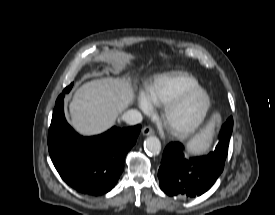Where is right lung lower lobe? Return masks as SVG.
<instances>
[{
  "label": "right lung lower lobe",
  "mask_w": 275,
  "mask_h": 215,
  "mask_svg": "<svg viewBox=\"0 0 275 215\" xmlns=\"http://www.w3.org/2000/svg\"><path fill=\"white\" fill-rule=\"evenodd\" d=\"M63 97L55 104L48 133V150L61 178L77 191L102 195L118 181L127 152L136 143L141 126L112 127L107 132L83 137L66 122Z\"/></svg>",
  "instance_id": "1"
}]
</instances>
